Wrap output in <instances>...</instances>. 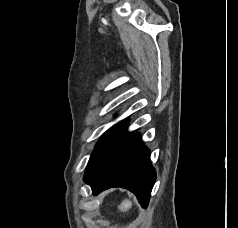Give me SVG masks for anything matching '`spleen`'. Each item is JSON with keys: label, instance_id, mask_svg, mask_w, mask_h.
<instances>
[{"label": "spleen", "instance_id": "1", "mask_svg": "<svg viewBox=\"0 0 238 228\" xmlns=\"http://www.w3.org/2000/svg\"><path fill=\"white\" fill-rule=\"evenodd\" d=\"M132 207V202L129 199H124L121 204L118 206V209L121 212H127Z\"/></svg>", "mask_w": 238, "mask_h": 228}]
</instances>
